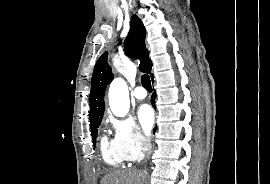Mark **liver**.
Returning <instances> with one entry per match:
<instances>
[{
	"label": "liver",
	"mask_w": 270,
	"mask_h": 184,
	"mask_svg": "<svg viewBox=\"0 0 270 184\" xmlns=\"http://www.w3.org/2000/svg\"><path fill=\"white\" fill-rule=\"evenodd\" d=\"M142 174L139 171H114L104 176L101 184H141Z\"/></svg>",
	"instance_id": "liver-1"
}]
</instances>
